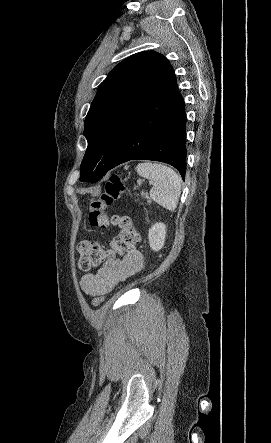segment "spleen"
Returning <instances> with one entry per match:
<instances>
[{"mask_svg": "<svg viewBox=\"0 0 271 443\" xmlns=\"http://www.w3.org/2000/svg\"><path fill=\"white\" fill-rule=\"evenodd\" d=\"M138 176L151 180L153 186L150 190V196L153 202L163 206L166 210H176L178 196L181 188V178L168 166L162 164H151L144 162L138 164L135 168Z\"/></svg>", "mask_w": 271, "mask_h": 443, "instance_id": "3e777b00", "label": "spleen"}]
</instances>
